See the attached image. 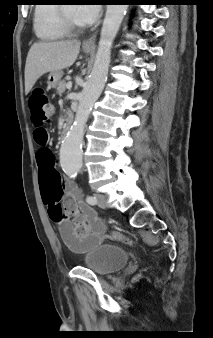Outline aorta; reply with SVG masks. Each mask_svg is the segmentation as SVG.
Returning a JSON list of instances; mask_svg holds the SVG:
<instances>
[{
	"instance_id": "aorta-1",
	"label": "aorta",
	"mask_w": 213,
	"mask_h": 338,
	"mask_svg": "<svg viewBox=\"0 0 213 338\" xmlns=\"http://www.w3.org/2000/svg\"><path fill=\"white\" fill-rule=\"evenodd\" d=\"M127 8L128 5H107L93 69L80 93L74 123L61 147V167L70 177L82 168L85 125L107 81L111 48Z\"/></svg>"
}]
</instances>
